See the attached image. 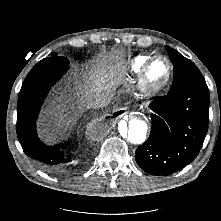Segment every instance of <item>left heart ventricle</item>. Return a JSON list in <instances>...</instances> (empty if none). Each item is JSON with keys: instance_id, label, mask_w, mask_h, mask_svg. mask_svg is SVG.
<instances>
[{"instance_id": "b2bd125f", "label": "left heart ventricle", "mask_w": 221, "mask_h": 221, "mask_svg": "<svg viewBox=\"0 0 221 221\" xmlns=\"http://www.w3.org/2000/svg\"><path fill=\"white\" fill-rule=\"evenodd\" d=\"M168 75V64L163 59L156 60L148 72V81L151 84L162 83Z\"/></svg>"}]
</instances>
